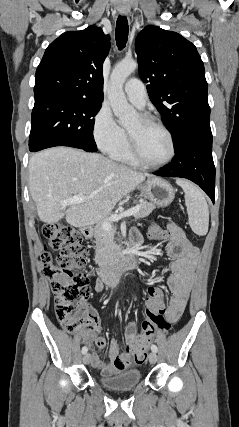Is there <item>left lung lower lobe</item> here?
<instances>
[{
    "instance_id": "0a47b994",
    "label": "left lung lower lobe",
    "mask_w": 239,
    "mask_h": 427,
    "mask_svg": "<svg viewBox=\"0 0 239 427\" xmlns=\"http://www.w3.org/2000/svg\"><path fill=\"white\" fill-rule=\"evenodd\" d=\"M154 174L189 179L198 184L214 203L215 166L212 158V134H193L185 138L175 148L172 162Z\"/></svg>"
}]
</instances>
